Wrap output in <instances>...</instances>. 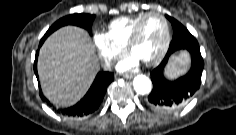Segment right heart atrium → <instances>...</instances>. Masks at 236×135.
<instances>
[{
    "label": "right heart atrium",
    "instance_id": "right-heart-atrium-1",
    "mask_svg": "<svg viewBox=\"0 0 236 135\" xmlns=\"http://www.w3.org/2000/svg\"><path fill=\"white\" fill-rule=\"evenodd\" d=\"M92 40L105 66H109L123 51L122 48L112 43L104 33H94Z\"/></svg>",
    "mask_w": 236,
    "mask_h": 135
}]
</instances>
